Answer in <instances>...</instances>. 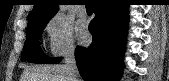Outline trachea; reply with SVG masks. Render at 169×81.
Instances as JSON below:
<instances>
[{
  "instance_id": "obj_1",
  "label": "trachea",
  "mask_w": 169,
  "mask_h": 81,
  "mask_svg": "<svg viewBox=\"0 0 169 81\" xmlns=\"http://www.w3.org/2000/svg\"><path fill=\"white\" fill-rule=\"evenodd\" d=\"M84 5L86 6V9L88 10V9H93V7H94V4H93V2H91V1H86L85 3H84Z\"/></svg>"
}]
</instances>
